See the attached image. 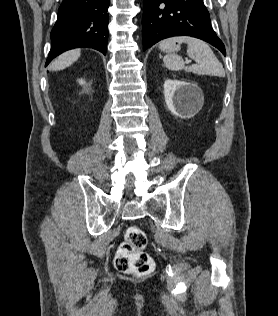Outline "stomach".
<instances>
[{"mask_svg":"<svg viewBox=\"0 0 278 316\" xmlns=\"http://www.w3.org/2000/svg\"><path fill=\"white\" fill-rule=\"evenodd\" d=\"M177 50H178L177 47H173V48L170 49V51H177Z\"/></svg>","mask_w":278,"mask_h":316,"instance_id":"0dacf381","label":"stomach"}]
</instances>
